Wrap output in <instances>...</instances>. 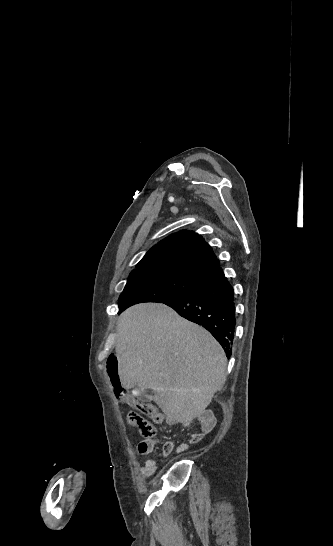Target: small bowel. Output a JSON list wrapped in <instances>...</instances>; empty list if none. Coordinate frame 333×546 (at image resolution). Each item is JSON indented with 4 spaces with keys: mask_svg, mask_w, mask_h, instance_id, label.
<instances>
[{
    "mask_svg": "<svg viewBox=\"0 0 333 546\" xmlns=\"http://www.w3.org/2000/svg\"><path fill=\"white\" fill-rule=\"evenodd\" d=\"M152 418L156 422H162L165 419V417L157 411L155 415L152 416ZM201 420L205 424V426L203 427L202 430L193 431L191 433L190 441L192 443L199 442L203 438L205 431L211 429L213 425L215 424V420L212 417H208V416L205 417L204 415H202ZM158 444H159V441L154 439H146L144 441H141L137 447L138 453L141 455H148L155 450ZM174 448L176 449L178 453H181L187 450L188 444L185 442L176 443L175 441H168L163 444L162 456H168L173 451ZM157 465H158L157 458H148L145 460L143 466L140 469V472L144 477L149 478L156 472Z\"/></svg>",
    "mask_w": 333,
    "mask_h": 546,
    "instance_id": "c3829d8e",
    "label": "small bowel"
}]
</instances>
